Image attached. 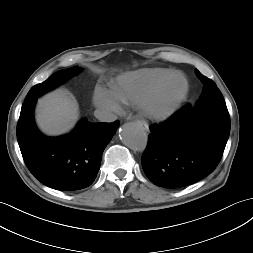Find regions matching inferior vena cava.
<instances>
[{"instance_id":"inferior-vena-cava-1","label":"inferior vena cava","mask_w":253,"mask_h":253,"mask_svg":"<svg viewBox=\"0 0 253 253\" xmlns=\"http://www.w3.org/2000/svg\"><path fill=\"white\" fill-rule=\"evenodd\" d=\"M94 115L101 122H114L117 119L113 112L103 108L96 109Z\"/></svg>"}]
</instances>
